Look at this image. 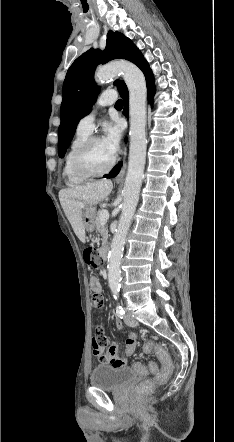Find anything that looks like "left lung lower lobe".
Segmentation results:
<instances>
[{"label":"left lung lower lobe","instance_id":"0a47b994","mask_svg":"<svg viewBox=\"0 0 234 442\" xmlns=\"http://www.w3.org/2000/svg\"><path fill=\"white\" fill-rule=\"evenodd\" d=\"M140 69L143 71L146 82H147V88H148V100L149 102L152 101L154 93H155V87H154V77L152 74L151 69L149 68L148 62L145 60L143 64L140 66ZM121 97L124 100V114L128 116V102H129V95L126 85H123L121 89L119 90ZM122 162H120L114 169L110 172V174L106 175V178H112L115 177L121 168Z\"/></svg>","mask_w":234,"mask_h":442}]
</instances>
